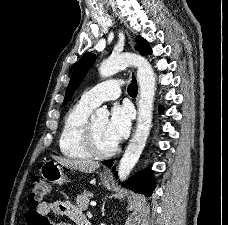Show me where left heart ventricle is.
<instances>
[{"label":"left heart ventricle","mask_w":228,"mask_h":225,"mask_svg":"<svg viewBox=\"0 0 228 225\" xmlns=\"http://www.w3.org/2000/svg\"><path fill=\"white\" fill-rule=\"evenodd\" d=\"M92 125L101 146L110 147L115 143L112 140H110L106 135V127H107L106 119L93 120Z\"/></svg>","instance_id":"obj_1"}]
</instances>
